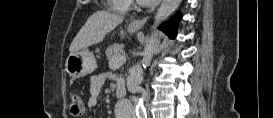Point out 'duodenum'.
I'll return each mask as SVG.
<instances>
[{
  "label": "duodenum",
  "instance_id": "duodenum-1",
  "mask_svg": "<svg viewBox=\"0 0 273 118\" xmlns=\"http://www.w3.org/2000/svg\"><path fill=\"white\" fill-rule=\"evenodd\" d=\"M115 90H116V95L117 97H124L126 92H127V88H126V85L123 81V79L121 78H118L116 79V87H115Z\"/></svg>",
  "mask_w": 273,
  "mask_h": 118
}]
</instances>
